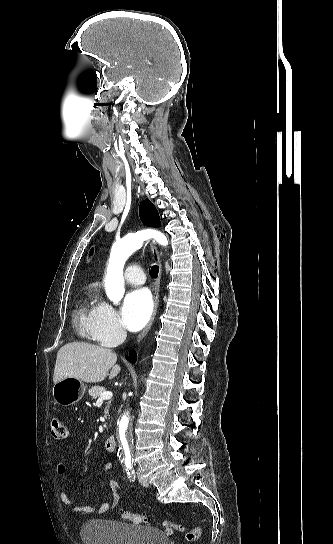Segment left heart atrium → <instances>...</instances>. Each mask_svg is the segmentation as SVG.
<instances>
[{
	"label": "left heart atrium",
	"mask_w": 333,
	"mask_h": 544,
	"mask_svg": "<svg viewBox=\"0 0 333 544\" xmlns=\"http://www.w3.org/2000/svg\"><path fill=\"white\" fill-rule=\"evenodd\" d=\"M152 298L147 289L131 291L124 299L122 319L130 331H138L148 322L152 313Z\"/></svg>",
	"instance_id": "1"
}]
</instances>
